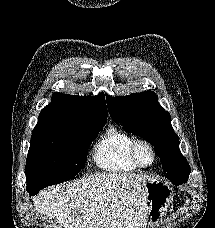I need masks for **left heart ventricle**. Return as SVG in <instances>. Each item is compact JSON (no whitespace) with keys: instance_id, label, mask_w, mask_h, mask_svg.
<instances>
[{"instance_id":"left-heart-ventricle-1","label":"left heart ventricle","mask_w":215,"mask_h":228,"mask_svg":"<svg viewBox=\"0 0 215 228\" xmlns=\"http://www.w3.org/2000/svg\"><path fill=\"white\" fill-rule=\"evenodd\" d=\"M139 158H140V161L143 163V164H150L151 161H152V155L151 153L145 149V148H142L139 152Z\"/></svg>"}]
</instances>
